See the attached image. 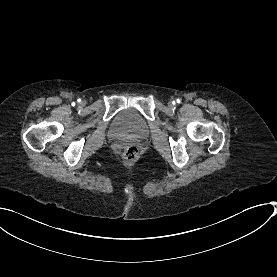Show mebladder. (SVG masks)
Instances as JSON below:
<instances>
[{"mask_svg": "<svg viewBox=\"0 0 277 277\" xmlns=\"http://www.w3.org/2000/svg\"><path fill=\"white\" fill-rule=\"evenodd\" d=\"M109 126L118 140L143 139L150 130V125L145 116L139 110L130 106L116 112Z\"/></svg>", "mask_w": 277, "mask_h": 277, "instance_id": "bladder-1", "label": "bladder"}]
</instances>
